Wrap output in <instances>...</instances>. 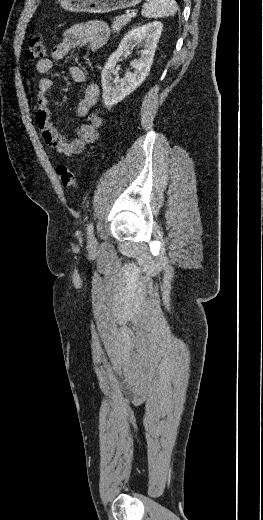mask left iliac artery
I'll return each instance as SVG.
<instances>
[{
    "label": "left iliac artery",
    "mask_w": 263,
    "mask_h": 520,
    "mask_svg": "<svg viewBox=\"0 0 263 520\" xmlns=\"http://www.w3.org/2000/svg\"><path fill=\"white\" fill-rule=\"evenodd\" d=\"M93 228H94V227H93V223L91 222V223L88 225V227H87V234H88L89 237H90V236L92 235V233H93Z\"/></svg>",
    "instance_id": "44dca946"
}]
</instances>
